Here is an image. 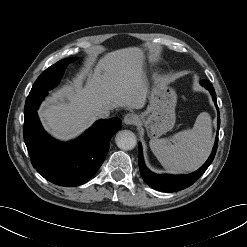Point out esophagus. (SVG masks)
I'll return each mask as SVG.
<instances>
[{"label": "esophagus", "instance_id": "34e87169", "mask_svg": "<svg viewBox=\"0 0 247 247\" xmlns=\"http://www.w3.org/2000/svg\"><path fill=\"white\" fill-rule=\"evenodd\" d=\"M123 121L126 125H134L138 122V116L135 113H128L124 116Z\"/></svg>", "mask_w": 247, "mask_h": 247}]
</instances>
